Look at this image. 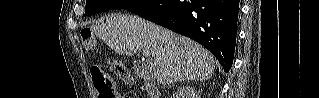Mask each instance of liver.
Returning a JSON list of instances; mask_svg holds the SVG:
<instances>
[{
	"label": "liver",
	"instance_id": "obj_1",
	"mask_svg": "<svg viewBox=\"0 0 319 98\" xmlns=\"http://www.w3.org/2000/svg\"><path fill=\"white\" fill-rule=\"evenodd\" d=\"M91 30L118 54L148 51L154 58L153 78L159 84L205 81L214 74V58L205 48L138 16L111 14L106 21L93 24Z\"/></svg>",
	"mask_w": 319,
	"mask_h": 98
}]
</instances>
